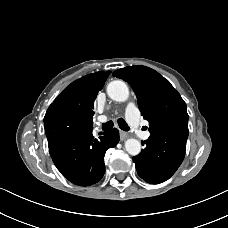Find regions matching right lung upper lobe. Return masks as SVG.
Segmentation results:
<instances>
[{
	"label": "right lung upper lobe",
	"instance_id": "cb5924a9",
	"mask_svg": "<svg viewBox=\"0 0 228 228\" xmlns=\"http://www.w3.org/2000/svg\"><path fill=\"white\" fill-rule=\"evenodd\" d=\"M111 71H100L77 79L66 87L49 106L46 115L68 112L78 116L85 131L92 130L94 101Z\"/></svg>",
	"mask_w": 228,
	"mask_h": 228
}]
</instances>
